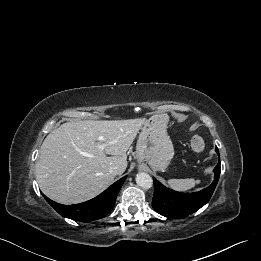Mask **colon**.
<instances>
[{
  "mask_svg": "<svg viewBox=\"0 0 261 261\" xmlns=\"http://www.w3.org/2000/svg\"><path fill=\"white\" fill-rule=\"evenodd\" d=\"M190 147L191 150L196 154L203 152V150L205 149L204 138L200 135H194L191 138Z\"/></svg>",
  "mask_w": 261,
  "mask_h": 261,
  "instance_id": "1",
  "label": "colon"
}]
</instances>
